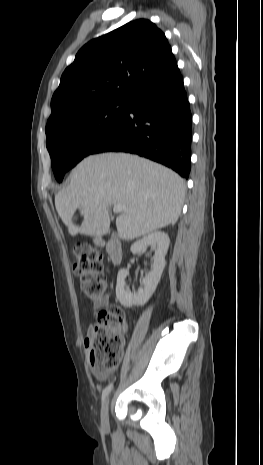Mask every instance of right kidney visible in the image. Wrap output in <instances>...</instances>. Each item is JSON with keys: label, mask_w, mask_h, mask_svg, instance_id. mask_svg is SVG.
<instances>
[{"label": "right kidney", "mask_w": 263, "mask_h": 465, "mask_svg": "<svg viewBox=\"0 0 263 465\" xmlns=\"http://www.w3.org/2000/svg\"><path fill=\"white\" fill-rule=\"evenodd\" d=\"M169 237L164 232H153L132 244L130 250L133 254L141 252L147 246L155 251L151 271L143 278V287L137 292H130L125 287V279L129 274L128 270L122 269L117 275L116 296L121 305L132 307L133 305L142 306L152 296L160 281L162 272L165 268V255L169 247Z\"/></svg>", "instance_id": "1"}]
</instances>
